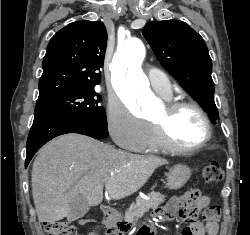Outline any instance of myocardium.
<instances>
[{
    "label": "myocardium",
    "instance_id": "f54148a6",
    "mask_svg": "<svg viewBox=\"0 0 250 235\" xmlns=\"http://www.w3.org/2000/svg\"><path fill=\"white\" fill-rule=\"evenodd\" d=\"M184 108L195 110L202 118L205 127L203 139L193 146H182L177 144L170 136L169 126L173 116ZM160 143L166 150L177 153H191L202 149L211 139L212 129L211 122L207 112L197 102L192 100H173L169 101L164 106V115L159 121H151Z\"/></svg>",
    "mask_w": 250,
    "mask_h": 235
}]
</instances>
